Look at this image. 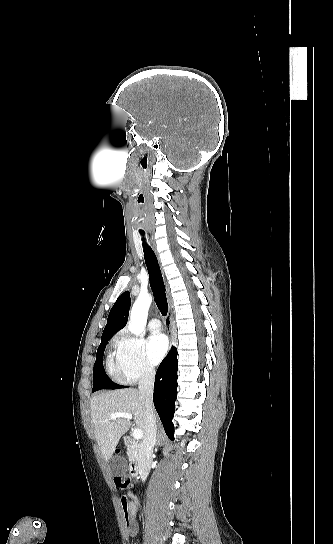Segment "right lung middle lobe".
I'll use <instances>...</instances> for the list:
<instances>
[{"label":"right lung middle lobe","instance_id":"1","mask_svg":"<svg viewBox=\"0 0 333 544\" xmlns=\"http://www.w3.org/2000/svg\"><path fill=\"white\" fill-rule=\"evenodd\" d=\"M110 338L102 339L101 344L98 347L97 354H96V361L94 364V370H93V389L92 392L98 391L100 389H120L124 388L121 385H118L111 381L108 376L106 375L104 368H103V354L105 347L107 345V342Z\"/></svg>","mask_w":333,"mask_h":544}]
</instances>
